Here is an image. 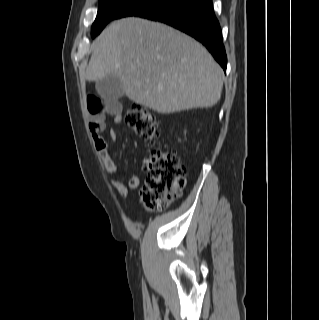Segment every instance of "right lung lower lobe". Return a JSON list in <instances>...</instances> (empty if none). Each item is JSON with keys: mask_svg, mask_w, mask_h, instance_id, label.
I'll list each match as a JSON object with an SVG mask.
<instances>
[{"mask_svg": "<svg viewBox=\"0 0 319 320\" xmlns=\"http://www.w3.org/2000/svg\"><path fill=\"white\" fill-rule=\"evenodd\" d=\"M137 16L166 23L194 37L226 71L227 57L212 0H170Z\"/></svg>", "mask_w": 319, "mask_h": 320, "instance_id": "1", "label": "right lung lower lobe"}]
</instances>
